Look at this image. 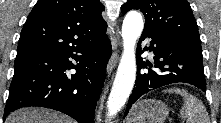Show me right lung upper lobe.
<instances>
[{"mask_svg": "<svg viewBox=\"0 0 221 123\" xmlns=\"http://www.w3.org/2000/svg\"><path fill=\"white\" fill-rule=\"evenodd\" d=\"M99 0H38L20 34L16 58L58 52L106 32Z\"/></svg>", "mask_w": 221, "mask_h": 123, "instance_id": "1", "label": "right lung upper lobe"}]
</instances>
